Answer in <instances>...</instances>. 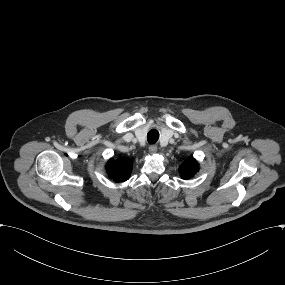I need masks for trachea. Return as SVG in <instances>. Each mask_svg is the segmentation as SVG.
I'll list each match as a JSON object with an SVG mask.
<instances>
[{
  "label": "trachea",
  "instance_id": "obj_1",
  "mask_svg": "<svg viewBox=\"0 0 285 285\" xmlns=\"http://www.w3.org/2000/svg\"><path fill=\"white\" fill-rule=\"evenodd\" d=\"M158 139H159L158 130L156 128L151 129L147 134L148 143L152 145L153 143H156Z\"/></svg>",
  "mask_w": 285,
  "mask_h": 285
}]
</instances>
